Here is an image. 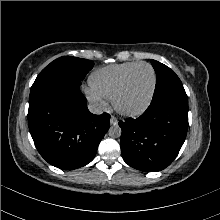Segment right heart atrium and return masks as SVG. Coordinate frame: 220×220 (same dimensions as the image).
I'll return each mask as SVG.
<instances>
[{"label":"right heart atrium","instance_id":"right-heart-atrium-1","mask_svg":"<svg viewBox=\"0 0 220 220\" xmlns=\"http://www.w3.org/2000/svg\"><path fill=\"white\" fill-rule=\"evenodd\" d=\"M87 97L92 103H94L97 106L105 105L104 99L101 96H99L97 93H95L93 90L87 91Z\"/></svg>","mask_w":220,"mask_h":220}]
</instances>
